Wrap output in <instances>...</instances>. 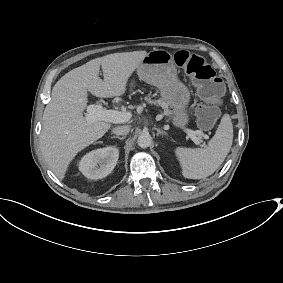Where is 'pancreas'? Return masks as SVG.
I'll return each instance as SVG.
<instances>
[{"label":"pancreas","mask_w":283,"mask_h":283,"mask_svg":"<svg viewBox=\"0 0 283 283\" xmlns=\"http://www.w3.org/2000/svg\"><path fill=\"white\" fill-rule=\"evenodd\" d=\"M144 100L150 104H154V105H160L163 109H164V114L165 115H170V110L168 109V104L163 101L162 99L159 100H152L150 96H147L144 98Z\"/></svg>","instance_id":"obj_1"}]
</instances>
